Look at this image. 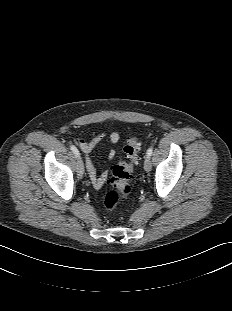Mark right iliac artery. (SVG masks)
Returning <instances> with one entry per match:
<instances>
[{
	"mask_svg": "<svg viewBox=\"0 0 232 311\" xmlns=\"http://www.w3.org/2000/svg\"><path fill=\"white\" fill-rule=\"evenodd\" d=\"M70 149L75 154V156H77V157L80 156L78 149L74 145H70Z\"/></svg>",
	"mask_w": 232,
	"mask_h": 311,
	"instance_id": "right-iliac-artery-1",
	"label": "right iliac artery"
}]
</instances>
